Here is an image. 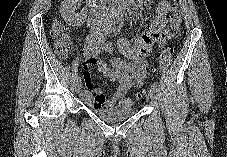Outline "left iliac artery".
Instances as JSON below:
<instances>
[{
  "instance_id": "1",
  "label": "left iliac artery",
  "mask_w": 227,
  "mask_h": 157,
  "mask_svg": "<svg viewBox=\"0 0 227 157\" xmlns=\"http://www.w3.org/2000/svg\"><path fill=\"white\" fill-rule=\"evenodd\" d=\"M151 88L157 91L158 90V85L156 83H153L151 85Z\"/></svg>"
}]
</instances>
